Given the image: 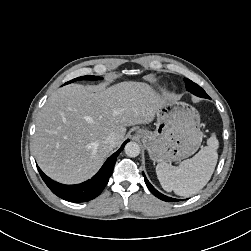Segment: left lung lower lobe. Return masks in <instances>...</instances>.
Segmentation results:
<instances>
[{"mask_svg":"<svg viewBox=\"0 0 251 251\" xmlns=\"http://www.w3.org/2000/svg\"><path fill=\"white\" fill-rule=\"evenodd\" d=\"M143 173V176H144V180H145V183L148 187V189L152 192V194H154L156 197H158L159 199L163 200V201H167V202H173V201H178L177 199H174V198H171V197H167L163 194H161L160 192H158L151 184L150 182L147 180L144 172Z\"/></svg>","mask_w":251,"mask_h":251,"instance_id":"obj_1","label":"left lung lower lobe"}]
</instances>
